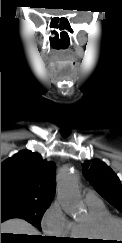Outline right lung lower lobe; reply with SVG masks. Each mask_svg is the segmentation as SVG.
<instances>
[{
  "label": "right lung lower lobe",
  "mask_w": 122,
  "mask_h": 243,
  "mask_svg": "<svg viewBox=\"0 0 122 243\" xmlns=\"http://www.w3.org/2000/svg\"><path fill=\"white\" fill-rule=\"evenodd\" d=\"M12 217H8V216H1V222L7 220V219H10ZM41 242L43 243H52V239H41Z\"/></svg>",
  "instance_id": "98d812e1"
}]
</instances>
